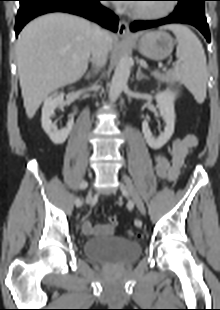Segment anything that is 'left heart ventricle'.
<instances>
[{"label": "left heart ventricle", "mask_w": 220, "mask_h": 310, "mask_svg": "<svg viewBox=\"0 0 220 310\" xmlns=\"http://www.w3.org/2000/svg\"><path fill=\"white\" fill-rule=\"evenodd\" d=\"M158 8H159V6H152V7H148L147 10L156 11Z\"/></svg>", "instance_id": "b2bd125f"}]
</instances>
